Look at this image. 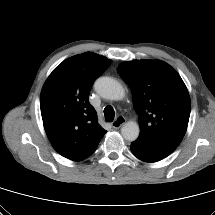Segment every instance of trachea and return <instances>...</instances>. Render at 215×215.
<instances>
[{
	"label": "trachea",
	"instance_id": "3493384b",
	"mask_svg": "<svg viewBox=\"0 0 215 215\" xmlns=\"http://www.w3.org/2000/svg\"><path fill=\"white\" fill-rule=\"evenodd\" d=\"M105 120L112 122L114 120L115 112L112 106H106L104 109Z\"/></svg>",
	"mask_w": 215,
	"mask_h": 215
}]
</instances>
